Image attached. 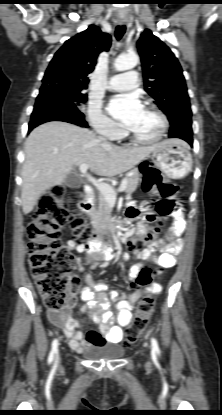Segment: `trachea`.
Masks as SVG:
<instances>
[{
	"mask_svg": "<svg viewBox=\"0 0 222 415\" xmlns=\"http://www.w3.org/2000/svg\"><path fill=\"white\" fill-rule=\"evenodd\" d=\"M126 31L125 25L117 26L115 30V37L119 41Z\"/></svg>",
	"mask_w": 222,
	"mask_h": 415,
	"instance_id": "1",
	"label": "trachea"
}]
</instances>
